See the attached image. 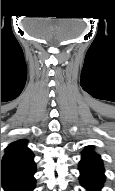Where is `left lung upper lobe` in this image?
Instances as JSON below:
<instances>
[{
    "instance_id": "obj_1",
    "label": "left lung upper lobe",
    "mask_w": 115,
    "mask_h": 191,
    "mask_svg": "<svg viewBox=\"0 0 115 191\" xmlns=\"http://www.w3.org/2000/svg\"><path fill=\"white\" fill-rule=\"evenodd\" d=\"M92 149H93L92 146L86 147L85 150L82 152V157L101 160L100 156L98 154H96L95 152H93Z\"/></svg>"
}]
</instances>
